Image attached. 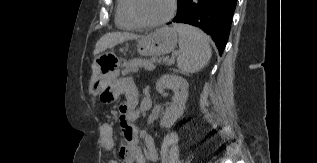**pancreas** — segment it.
Returning <instances> with one entry per match:
<instances>
[{"label": "pancreas", "instance_id": "pancreas-1", "mask_svg": "<svg viewBox=\"0 0 317 163\" xmlns=\"http://www.w3.org/2000/svg\"><path fill=\"white\" fill-rule=\"evenodd\" d=\"M160 62V59L153 57L151 59L136 58L132 60H124L122 63V75H126L131 72H137L140 68L146 70H153L155 68L154 63Z\"/></svg>", "mask_w": 317, "mask_h": 163}]
</instances>
